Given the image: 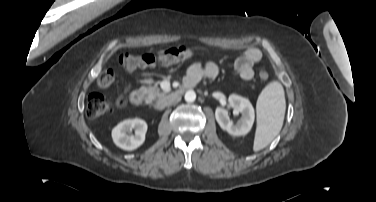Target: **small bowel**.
<instances>
[{"label": "small bowel", "instance_id": "1", "mask_svg": "<svg viewBox=\"0 0 376 202\" xmlns=\"http://www.w3.org/2000/svg\"><path fill=\"white\" fill-rule=\"evenodd\" d=\"M262 53L258 48H249L235 61V68L244 80H251L254 76L253 67L261 60ZM218 74V67L213 62L202 65L198 62L191 63L186 72L184 83L192 86L198 83L203 77H215Z\"/></svg>", "mask_w": 376, "mask_h": 202}]
</instances>
